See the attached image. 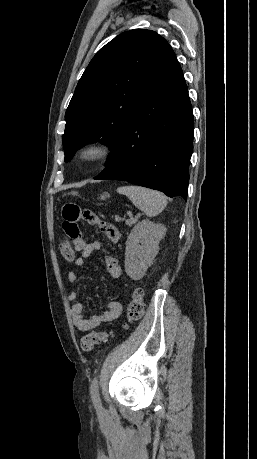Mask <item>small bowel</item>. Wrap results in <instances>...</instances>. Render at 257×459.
<instances>
[{"label": "small bowel", "mask_w": 257, "mask_h": 459, "mask_svg": "<svg viewBox=\"0 0 257 459\" xmlns=\"http://www.w3.org/2000/svg\"><path fill=\"white\" fill-rule=\"evenodd\" d=\"M60 220L64 222V235L69 236L73 251H80V255L73 262L77 267H83L86 260L101 248L98 241L88 242L87 234L90 231L86 228L80 232V222H90L100 229L112 243H117L121 238L119 230L97 217L94 208H88L87 205H76L75 200H66L65 205H62ZM104 264L112 278L117 279L121 276V267L117 258L110 255L105 256ZM78 279L79 275L76 271L68 272L69 283H75ZM78 296L77 290H71L68 298L73 301L70 309L73 324L80 331H89L102 324L110 323L119 318L122 313V303L115 300L108 302L101 314L85 318L82 303L76 301Z\"/></svg>", "instance_id": "1"}]
</instances>
